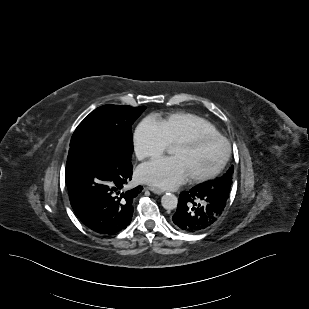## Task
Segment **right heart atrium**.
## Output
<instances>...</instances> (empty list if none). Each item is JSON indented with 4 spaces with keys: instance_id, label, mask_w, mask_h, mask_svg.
Here are the masks:
<instances>
[{
    "instance_id": "1",
    "label": "right heart atrium",
    "mask_w": 309,
    "mask_h": 309,
    "mask_svg": "<svg viewBox=\"0 0 309 309\" xmlns=\"http://www.w3.org/2000/svg\"><path fill=\"white\" fill-rule=\"evenodd\" d=\"M133 143L139 160L157 158L169 146L159 125L150 118L143 119L136 126Z\"/></svg>"
}]
</instances>
